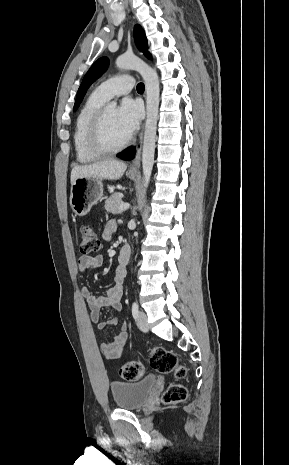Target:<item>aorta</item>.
Wrapping results in <instances>:
<instances>
[{
  "mask_svg": "<svg viewBox=\"0 0 289 465\" xmlns=\"http://www.w3.org/2000/svg\"><path fill=\"white\" fill-rule=\"evenodd\" d=\"M119 69L136 70L142 76L146 89L147 119L144 131L142 168L144 191L149 185L154 163L158 107H159V79L157 72L135 55H121L116 60ZM111 107L116 106L113 101Z\"/></svg>",
  "mask_w": 289,
  "mask_h": 465,
  "instance_id": "obj_1",
  "label": "aorta"
}]
</instances>
